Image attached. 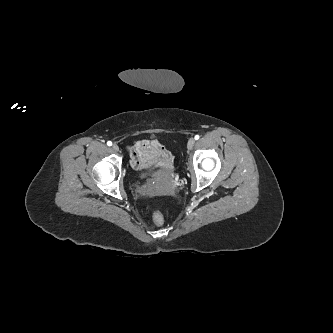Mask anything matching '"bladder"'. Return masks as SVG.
<instances>
[{
    "instance_id": "1",
    "label": "bladder",
    "mask_w": 333,
    "mask_h": 333,
    "mask_svg": "<svg viewBox=\"0 0 333 333\" xmlns=\"http://www.w3.org/2000/svg\"><path fill=\"white\" fill-rule=\"evenodd\" d=\"M141 176H142V177H144V176H146V174H145V173H143Z\"/></svg>"
}]
</instances>
